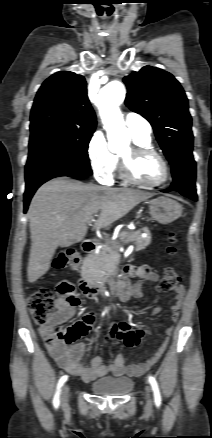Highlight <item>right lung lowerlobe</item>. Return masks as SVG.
<instances>
[{"mask_svg":"<svg viewBox=\"0 0 212 438\" xmlns=\"http://www.w3.org/2000/svg\"><path fill=\"white\" fill-rule=\"evenodd\" d=\"M92 174L90 167L69 164H33L25 168L26 189L24 212L37 188L46 181L60 176L86 177Z\"/></svg>","mask_w":212,"mask_h":438,"instance_id":"obj_1","label":"right lung lower lobe"}]
</instances>
